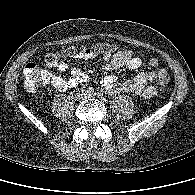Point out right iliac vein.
I'll list each match as a JSON object with an SVG mask.
<instances>
[{
    "instance_id": "1",
    "label": "right iliac vein",
    "mask_w": 195,
    "mask_h": 195,
    "mask_svg": "<svg viewBox=\"0 0 195 195\" xmlns=\"http://www.w3.org/2000/svg\"><path fill=\"white\" fill-rule=\"evenodd\" d=\"M87 95H88L87 92L81 91L77 94V100L85 99Z\"/></svg>"
}]
</instances>
